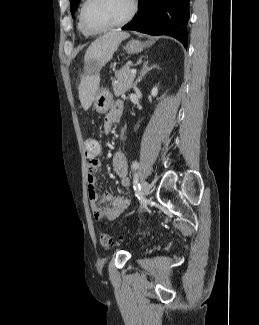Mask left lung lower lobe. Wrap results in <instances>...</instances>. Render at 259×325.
<instances>
[{
  "instance_id": "1",
  "label": "left lung lower lobe",
  "mask_w": 259,
  "mask_h": 325,
  "mask_svg": "<svg viewBox=\"0 0 259 325\" xmlns=\"http://www.w3.org/2000/svg\"><path fill=\"white\" fill-rule=\"evenodd\" d=\"M190 0H139L137 15L123 30L168 35L187 46Z\"/></svg>"
}]
</instances>
